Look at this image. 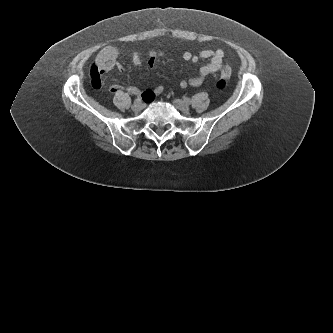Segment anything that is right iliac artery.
<instances>
[{
    "label": "right iliac artery",
    "instance_id": "1",
    "mask_svg": "<svg viewBox=\"0 0 333 333\" xmlns=\"http://www.w3.org/2000/svg\"><path fill=\"white\" fill-rule=\"evenodd\" d=\"M135 102H141V98L138 97V98L135 100Z\"/></svg>",
    "mask_w": 333,
    "mask_h": 333
}]
</instances>
